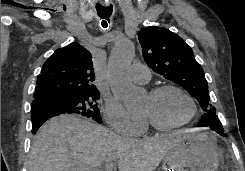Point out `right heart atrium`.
<instances>
[{
	"label": "right heart atrium",
	"mask_w": 245,
	"mask_h": 171,
	"mask_svg": "<svg viewBox=\"0 0 245 171\" xmlns=\"http://www.w3.org/2000/svg\"><path fill=\"white\" fill-rule=\"evenodd\" d=\"M107 125L125 137H137L146 129V120L141 115L130 113L117 101H109L104 110Z\"/></svg>",
	"instance_id": "obj_1"
}]
</instances>
